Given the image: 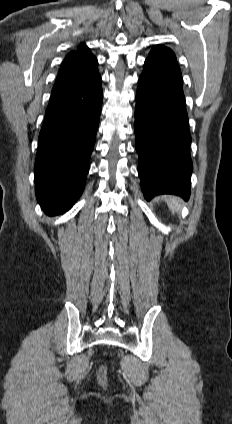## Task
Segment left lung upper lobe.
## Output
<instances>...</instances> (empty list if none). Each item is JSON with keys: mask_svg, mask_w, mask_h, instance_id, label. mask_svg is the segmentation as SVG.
<instances>
[{"mask_svg": "<svg viewBox=\"0 0 232 424\" xmlns=\"http://www.w3.org/2000/svg\"><path fill=\"white\" fill-rule=\"evenodd\" d=\"M146 60L154 61H166V60H176L174 52L162 45H157L154 47Z\"/></svg>", "mask_w": 232, "mask_h": 424, "instance_id": "obj_1", "label": "left lung upper lobe"}]
</instances>
